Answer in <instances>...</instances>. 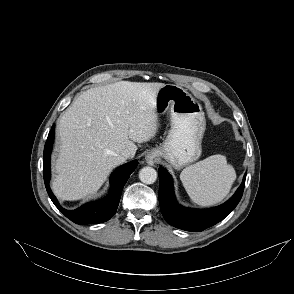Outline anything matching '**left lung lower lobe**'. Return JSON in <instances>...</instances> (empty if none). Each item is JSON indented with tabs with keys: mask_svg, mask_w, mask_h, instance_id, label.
Segmentation results:
<instances>
[{
	"mask_svg": "<svg viewBox=\"0 0 294 294\" xmlns=\"http://www.w3.org/2000/svg\"><path fill=\"white\" fill-rule=\"evenodd\" d=\"M159 203L161 212L170 225L192 232L203 231L229 215L239 203L245 185L246 173L240 187L235 194L224 204L210 209H191L180 206L174 196L172 177L159 168Z\"/></svg>",
	"mask_w": 294,
	"mask_h": 294,
	"instance_id": "1",
	"label": "left lung lower lobe"
}]
</instances>
